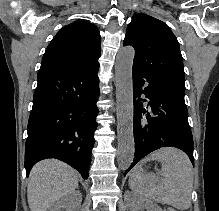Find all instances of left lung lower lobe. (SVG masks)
<instances>
[{
    "instance_id": "left-lung-lower-lobe-1",
    "label": "left lung lower lobe",
    "mask_w": 219,
    "mask_h": 211,
    "mask_svg": "<svg viewBox=\"0 0 219 211\" xmlns=\"http://www.w3.org/2000/svg\"><path fill=\"white\" fill-rule=\"evenodd\" d=\"M132 75L135 158L126 173L144 156L162 147L183 150L194 164L193 137L184 97L137 69L133 68Z\"/></svg>"
}]
</instances>
